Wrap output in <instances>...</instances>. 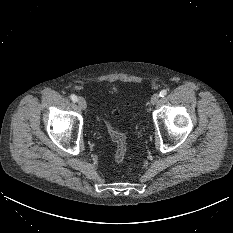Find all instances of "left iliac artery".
Masks as SVG:
<instances>
[{
    "label": "left iliac artery",
    "mask_w": 233,
    "mask_h": 233,
    "mask_svg": "<svg viewBox=\"0 0 233 233\" xmlns=\"http://www.w3.org/2000/svg\"><path fill=\"white\" fill-rule=\"evenodd\" d=\"M160 97H164L167 95V90L163 89L162 91H160Z\"/></svg>",
    "instance_id": "44dca946"
}]
</instances>
